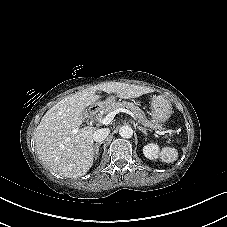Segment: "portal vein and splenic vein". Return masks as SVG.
Segmentation results:
<instances>
[{
    "label": "portal vein and splenic vein",
    "mask_w": 227,
    "mask_h": 227,
    "mask_svg": "<svg viewBox=\"0 0 227 227\" xmlns=\"http://www.w3.org/2000/svg\"><path fill=\"white\" fill-rule=\"evenodd\" d=\"M119 112H125V113L129 114L137 123H140L139 120L137 119V117L135 116V114L125 108H119L117 110L109 112L104 118L99 119V122L102 124H105V125L110 124V122L114 119L115 115L118 114ZM77 132H78V129H74L72 131L73 134H77ZM157 133L160 135H165L164 131H161V132L157 131Z\"/></svg>",
    "instance_id": "obj_1"
}]
</instances>
